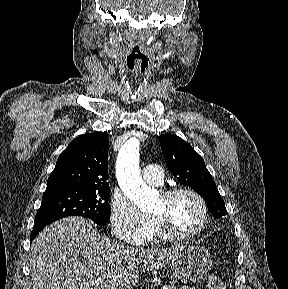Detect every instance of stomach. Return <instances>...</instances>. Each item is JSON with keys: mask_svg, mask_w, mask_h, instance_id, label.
<instances>
[{"mask_svg": "<svg viewBox=\"0 0 288 289\" xmlns=\"http://www.w3.org/2000/svg\"><path fill=\"white\" fill-rule=\"evenodd\" d=\"M212 257L203 246L180 247L178 254L171 260L175 279L183 283H195L210 270Z\"/></svg>", "mask_w": 288, "mask_h": 289, "instance_id": "obj_1", "label": "stomach"}]
</instances>
